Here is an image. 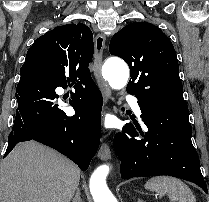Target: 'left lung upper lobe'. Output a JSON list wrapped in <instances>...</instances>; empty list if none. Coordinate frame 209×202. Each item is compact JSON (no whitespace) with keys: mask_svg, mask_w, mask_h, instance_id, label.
<instances>
[{"mask_svg":"<svg viewBox=\"0 0 209 202\" xmlns=\"http://www.w3.org/2000/svg\"><path fill=\"white\" fill-rule=\"evenodd\" d=\"M109 51L130 68L128 93L141 101L188 109L175 49L158 27L148 22L128 24L112 37Z\"/></svg>","mask_w":209,"mask_h":202,"instance_id":"5c2ea615","label":"left lung upper lobe"}]
</instances>
